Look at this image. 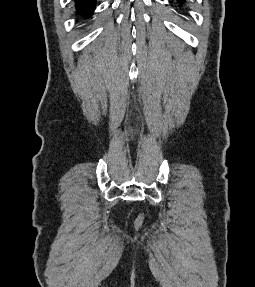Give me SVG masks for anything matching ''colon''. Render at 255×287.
Segmentation results:
<instances>
[{
    "label": "colon",
    "mask_w": 255,
    "mask_h": 287,
    "mask_svg": "<svg viewBox=\"0 0 255 287\" xmlns=\"http://www.w3.org/2000/svg\"><path fill=\"white\" fill-rule=\"evenodd\" d=\"M144 220H145V215L142 213L135 219V222H134L135 228L140 229L144 223Z\"/></svg>",
    "instance_id": "1"
}]
</instances>
